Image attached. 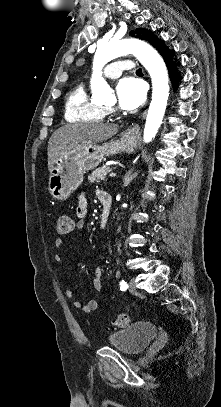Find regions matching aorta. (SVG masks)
Here are the masks:
<instances>
[{"label": "aorta", "instance_id": "762f6f07", "mask_svg": "<svg viewBox=\"0 0 221 407\" xmlns=\"http://www.w3.org/2000/svg\"><path fill=\"white\" fill-rule=\"evenodd\" d=\"M128 53L137 57L152 79V101L143 133V139L148 143L154 139L158 132L169 96L168 72L163 59L155 49L138 39L111 40L99 43L93 60L92 96L94 99L104 101L112 95V89L102 77V68L111 60Z\"/></svg>", "mask_w": 221, "mask_h": 407}]
</instances>
